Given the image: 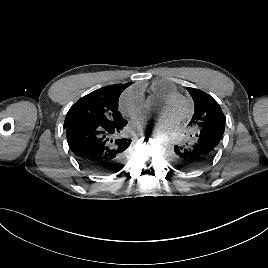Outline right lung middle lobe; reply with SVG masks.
<instances>
[{"label":"right lung middle lobe","mask_w":268,"mask_h":268,"mask_svg":"<svg viewBox=\"0 0 268 268\" xmlns=\"http://www.w3.org/2000/svg\"><path fill=\"white\" fill-rule=\"evenodd\" d=\"M121 91L102 87L79 99L68 111L64 128L76 122L113 125L121 121L118 100Z\"/></svg>","instance_id":"1"}]
</instances>
